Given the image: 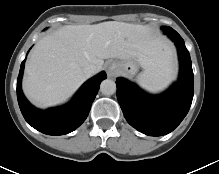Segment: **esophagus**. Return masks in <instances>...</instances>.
Returning a JSON list of instances; mask_svg holds the SVG:
<instances>
[{
    "label": "esophagus",
    "mask_w": 219,
    "mask_h": 174,
    "mask_svg": "<svg viewBox=\"0 0 219 174\" xmlns=\"http://www.w3.org/2000/svg\"><path fill=\"white\" fill-rule=\"evenodd\" d=\"M116 70H117V66L114 63H111L108 67V75L110 77H113L115 75Z\"/></svg>",
    "instance_id": "1"
}]
</instances>
